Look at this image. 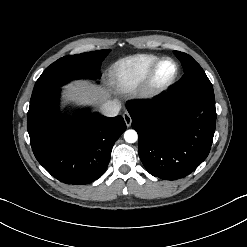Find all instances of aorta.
I'll use <instances>...</instances> for the list:
<instances>
[{
    "label": "aorta",
    "instance_id": "1",
    "mask_svg": "<svg viewBox=\"0 0 247 247\" xmlns=\"http://www.w3.org/2000/svg\"><path fill=\"white\" fill-rule=\"evenodd\" d=\"M124 139L127 143H135L138 139L137 132L132 129L125 131Z\"/></svg>",
    "mask_w": 247,
    "mask_h": 247
}]
</instances>
